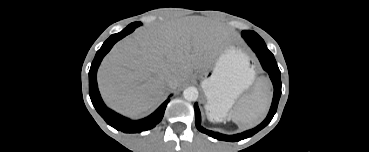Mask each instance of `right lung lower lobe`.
<instances>
[{"instance_id": "1", "label": "right lung lower lobe", "mask_w": 369, "mask_h": 152, "mask_svg": "<svg viewBox=\"0 0 369 152\" xmlns=\"http://www.w3.org/2000/svg\"><path fill=\"white\" fill-rule=\"evenodd\" d=\"M136 27H138V23L128 25L121 32L111 35L103 43L102 47L97 51L89 71V95L93 106L95 107L96 111L102 116V118L107 122V124L125 133H139L155 127L162 120L166 106L170 101V99H167L150 116L138 121H132L107 108L101 99L96 80L97 69L103 57L110 51L112 46L117 41L133 32Z\"/></svg>"}]
</instances>
